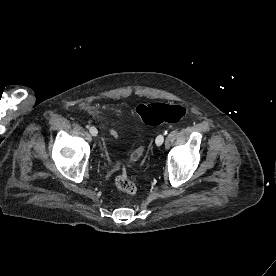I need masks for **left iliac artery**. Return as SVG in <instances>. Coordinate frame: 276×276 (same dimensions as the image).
Returning <instances> with one entry per match:
<instances>
[{
	"label": "left iliac artery",
	"instance_id": "44dca946",
	"mask_svg": "<svg viewBox=\"0 0 276 276\" xmlns=\"http://www.w3.org/2000/svg\"><path fill=\"white\" fill-rule=\"evenodd\" d=\"M165 135L167 134V131H165V133H164Z\"/></svg>",
	"mask_w": 276,
	"mask_h": 276
}]
</instances>
